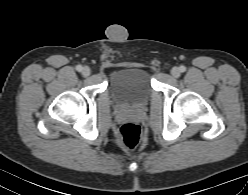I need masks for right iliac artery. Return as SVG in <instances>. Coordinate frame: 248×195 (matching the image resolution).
<instances>
[{"label": "right iliac artery", "mask_w": 248, "mask_h": 195, "mask_svg": "<svg viewBox=\"0 0 248 195\" xmlns=\"http://www.w3.org/2000/svg\"><path fill=\"white\" fill-rule=\"evenodd\" d=\"M82 69H83V67H82L81 65H77V66H76V70H77V71L80 72V71H82Z\"/></svg>", "instance_id": "right-iliac-artery-1"}]
</instances>
